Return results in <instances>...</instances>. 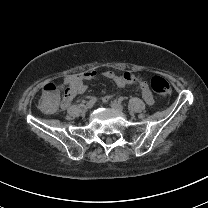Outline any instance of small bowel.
I'll return each instance as SVG.
<instances>
[{
    "instance_id": "obj_1",
    "label": "small bowel",
    "mask_w": 208,
    "mask_h": 208,
    "mask_svg": "<svg viewBox=\"0 0 208 208\" xmlns=\"http://www.w3.org/2000/svg\"><path fill=\"white\" fill-rule=\"evenodd\" d=\"M96 75L95 71H85L81 73H75L68 75L65 78L64 85L67 86V90L65 92V103H62V107L66 108L72 104V100L74 96L77 94H81L86 90L85 81L94 78ZM104 77L116 82L118 86H125L127 84H134L138 90L141 92L144 101L151 105L154 102L153 95L148 88L146 82L139 79L135 74L131 72H127L125 74L116 72L114 70H106L104 72ZM110 97L107 96L104 98V102H108Z\"/></svg>"
}]
</instances>
